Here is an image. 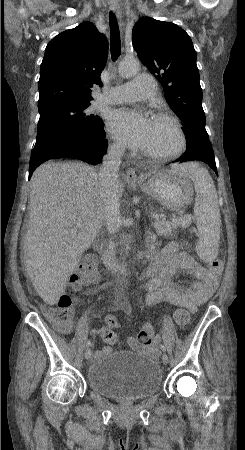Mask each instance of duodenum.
<instances>
[{"label":"duodenum","mask_w":245,"mask_h":450,"mask_svg":"<svg viewBox=\"0 0 245 450\" xmlns=\"http://www.w3.org/2000/svg\"><path fill=\"white\" fill-rule=\"evenodd\" d=\"M115 247V240L113 238L107 239L102 253L103 263L112 272L119 274L122 278H126L130 275L132 268L126 262H121L117 259Z\"/></svg>","instance_id":"obj_1"}]
</instances>
